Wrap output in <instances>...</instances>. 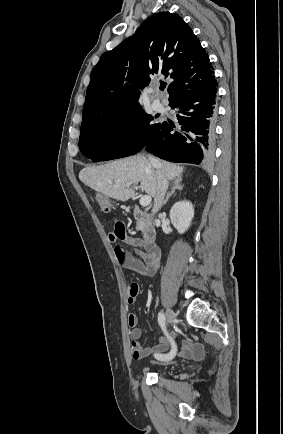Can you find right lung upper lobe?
Returning a JSON list of instances; mask_svg holds the SVG:
<instances>
[{"label": "right lung upper lobe", "mask_w": 283, "mask_h": 434, "mask_svg": "<svg viewBox=\"0 0 283 434\" xmlns=\"http://www.w3.org/2000/svg\"><path fill=\"white\" fill-rule=\"evenodd\" d=\"M157 73L171 80L169 102L214 80L208 54L188 24L174 13L153 15L133 36L102 54L91 73L80 129L141 107L140 90Z\"/></svg>", "instance_id": "obj_1"}]
</instances>
